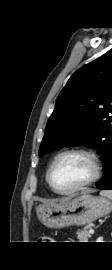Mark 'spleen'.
Here are the masks:
<instances>
[{
  "label": "spleen",
  "instance_id": "1",
  "mask_svg": "<svg viewBox=\"0 0 112 270\" xmlns=\"http://www.w3.org/2000/svg\"><path fill=\"white\" fill-rule=\"evenodd\" d=\"M100 195L112 200V190H103L100 192Z\"/></svg>",
  "mask_w": 112,
  "mask_h": 270
}]
</instances>
